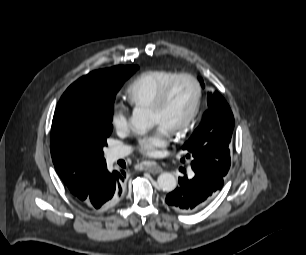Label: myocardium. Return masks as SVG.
<instances>
[{
	"instance_id": "f54148a6",
	"label": "myocardium",
	"mask_w": 306,
	"mask_h": 255,
	"mask_svg": "<svg viewBox=\"0 0 306 255\" xmlns=\"http://www.w3.org/2000/svg\"><path fill=\"white\" fill-rule=\"evenodd\" d=\"M183 79L190 80L195 85L196 98L189 116L178 127L171 130V133L175 136L184 134L193 125L200 113L203 101V86L198 78L189 73L178 74L157 94L149 106L150 110H160L165 105L175 85Z\"/></svg>"
}]
</instances>
